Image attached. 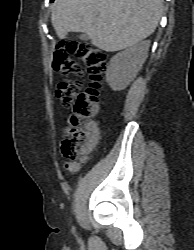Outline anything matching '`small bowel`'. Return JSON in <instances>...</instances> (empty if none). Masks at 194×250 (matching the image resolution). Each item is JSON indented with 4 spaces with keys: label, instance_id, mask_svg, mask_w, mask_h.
I'll use <instances>...</instances> for the list:
<instances>
[{
    "label": "small bowel",
    "instance_id": "small-bowel-1",
    "mask_svg": "<svg viewBox=\"0 0 194 250\" xmlns=\"http://www.w3.org/2000/svg\"><path fill=\"white\" fill-rule=\"evenodd\" d=\"M87 126L89 131V138L86 144V151L90 152L96 146L99 140L100 130L98 124L94 121L89 122ZM84 162L85 160H82L80 163L68 164L67 167L70 171L76 172L79 170L81 164Z\"/></svg>",
    "mask_w": 194,
    "mask_h": 250
}]
</instances>
